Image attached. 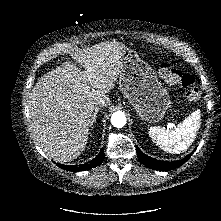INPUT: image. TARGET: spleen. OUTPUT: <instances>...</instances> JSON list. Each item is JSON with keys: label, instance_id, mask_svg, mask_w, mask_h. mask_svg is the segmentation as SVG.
I'll return each mask as SVG.
<instances>
[{"label": "spleen", "instance_id": "3e777b00", "mask_svg": "<svg viewBox=\"0 0 221 221\" xmlns=\"http://www.w3.org/2000/svg\"><path fill=\"white\" fill-rule=\"evenodd\" d=\"M200 128V111L196 110L184 119L174 130L164 127H151L149 136L162 150L178 154L192 145Z\"/></svg>", "mask_w": 221, "mask_h": 221}]
</instances>
